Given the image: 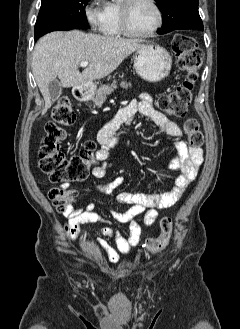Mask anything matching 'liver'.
<instances>
[{
    "label": "liver",
    "instance_id": "6515ba94",
    "mask_svg": "<svg viewBox=\"0 0 240 329\" xmlns=\"http://www.w3.org/2000/svg\"><path fill=\"white\" fill-rule=\"evenodd\" d=\"M142 47L137 39L105 37L78 30L55 31L36 44L32 72L45 101L43 114L51 107L48 86L57 77L63 87L90 84L112 73L132 52ZM89 66L79 72V64Z\"/></svg>",
    "mask_w": 240,
    "mask_h": 329
}]
</instances>
